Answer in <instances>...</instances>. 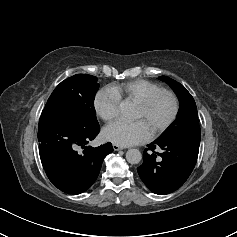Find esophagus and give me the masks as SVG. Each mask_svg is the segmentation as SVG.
<instances>
[{
    "mask_svg": "<svg viewBox=\"0 0 237 237\" xmlns=\"http://www.w3.org/2000/svg\"><path fill=\"white\" fill-rule=\"evenodd\" d=\"M113 149H114L115 151H119V150H122L123 147L118 146V145H116V144H113Z\"/></svg>",
    "mask_w": 237,
    "mask_h": 237,
    "instance_id": "esophagus-1",
    "label": "esophagus"
}]
</instances>
